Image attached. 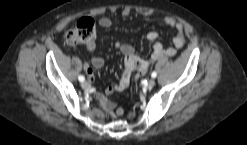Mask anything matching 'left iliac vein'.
I'll return each instance as SVG.
<instances>
[{"instance_id": "obj_1", "label": "left iliac vein", "mask_w": 247, "mask_h": 145, "mask_svg": "<svg viewBox=\"0 0 247 145\" xmlns=\"http://www.w3.org/2000/svg\"><path fill=\"white\" fill-rule=\"evenodd\" d=\"M155 83H156V82H155L154 79H150V80L147 81L145 87H146L147 89H151V88H153V87L155 86Z\"/></svg>"}]
</instances>
